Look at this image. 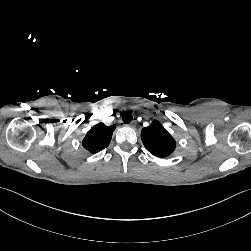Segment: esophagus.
Listing matches in <instances>:
<instances>
[{
  "mask_svg": "<svg viewBox=\"0 0 251 251\" xmlns=\"http://www.w3.org/2000/svg\"><path fill=\"white\" fill-rule=\"evenodd\" d=\"M128 126L134 128V127L136 126V122L133 121V122H131L130 124H128Z\"/></svg>",
  "mask_w": 251,
  "mask_h": 251,
  "instance_id": "34e87169",
  "label": "esophagus"
}]
</instances>
